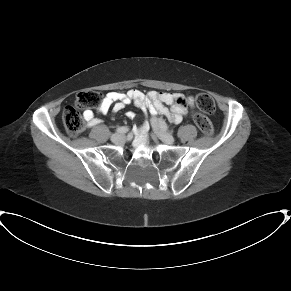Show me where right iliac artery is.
<instances>
[{
	"label": "right iliac artery",
	"mask_w": 291,
	"mask_h": 291,
	"mask_svg": "<svg viewBox=\"0 0 291 291\" xmlns=\"http://www.w3.org/2000/svg\"><path fill=\"white\" fill-rule=\"evenodd\" d=\"M128 131V128L127 127H125V126H122V127H119V128H117L116 129V132H118V133H126Z\"/></svg>",
	"instance_id": "1"
}]
</instances>
